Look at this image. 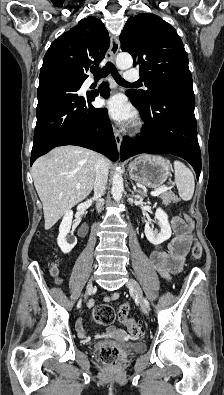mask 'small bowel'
Masks as SVG:
<instances>
[{"label": "small bowel", "mask_w": 224, "mask_h": 395, "mask_svg": "<svg viewBox=\"0 0 224 395\" xmlns=\"http://www.w3.org/2000/svg\"><path fill=\"white\" fill-rule=\"evenodd\" d=\"M171 223L176 235L170 241L168 250H153L149 257L154 269L167 279L182 269L184 256L188 252L191 243V237L185 222L179 217H173ZM117 297V294H113L107 297V299L111 300ZM76 329L81 337H88V333L81 319L77 320Z\"/></svg>", "instance_id": "1"}]
</instances>
